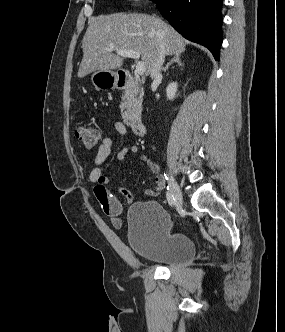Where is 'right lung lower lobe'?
Wrapping results in <instances>:
<instances>
[{"label": "right lung lower lobe", "instance_id": "right-lung-lower-lobe-1", "mask_svg": "<svg viewBox=\"0 0 285 332\" xmlns=\"http://www.w3.org/2000/svg\"><path fill=\"white\" fill-rule=\"evenodd\" d=\"M160 13L186 39L207 47L216 60L222 44V0H154Z\"/></svg>", "mask_w": 285, "mask_h": 332}]
</instances>
